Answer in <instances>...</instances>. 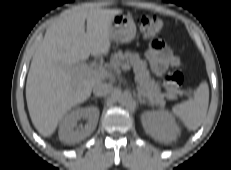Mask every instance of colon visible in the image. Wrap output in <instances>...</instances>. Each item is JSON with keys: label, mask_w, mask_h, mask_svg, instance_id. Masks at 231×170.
Returning <instances> with one entry per match:
<instances>
[{"label": "colon", "mask_w": 231, "mask_h": 170, "mask_svg": "<svg viewBox=\"0 0 231 170\" xmlns=\"http://www.w3.org/2000/svg\"><path fill=\"white\" fill-rule=\"evenodd\" d=\"M137 27L145 37H152L159 34L163 29V22L160 18L151 15H141L137 19ZM162 84L171 96H181L183 75L181 72H174L163 77Z\"/></svg>", "instance_id": "5ec220e1"}]
</instances>
